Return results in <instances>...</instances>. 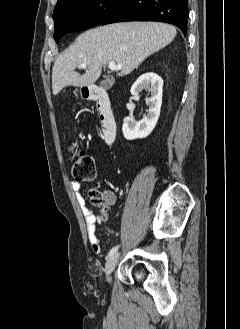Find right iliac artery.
Listing matches in <instances>:
<instances>
[{"mask_svg": "<svg viewBox=\"0 0 240 329\" xmlns=\"http://www.w3.org/2000/svg\"><path fill=\"white\" fill-rule=\"evenodd\" d=\"M118 248H119V245L114 246V247L109 251L107 258H108V257H111L112 255H114V254L117 252Z\"/></svg>", "mask_w": 240, "mask_h": 329, "instance_id": "82829eb1", "label": "right iliac artery"}]
</instances>
